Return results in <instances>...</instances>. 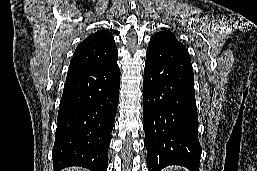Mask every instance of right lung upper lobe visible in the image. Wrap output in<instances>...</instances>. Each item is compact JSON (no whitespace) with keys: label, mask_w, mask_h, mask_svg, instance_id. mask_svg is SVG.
Masks as SVG:
<instances>
[{"label":"right lung upper lobe","mask_w":257,"mask_h":171,"mask_svg":"<svg viewBox=\"0 0 257 171\" xmlns=\"http://www.w3.org/2000/svg\"><path fill=\"white\" fill-rule=\"evenodd\" d=\"M118 59L114 37L107 30H99L76 48L69 71L85 70L108 65Z\"/></svg>","instance_id":"right-lung-upper-lobe-1"}]
</instances>
